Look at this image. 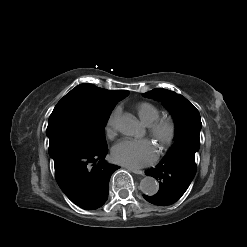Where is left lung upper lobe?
<instances>
[{"label":"left lung upper lobe","mask_w":247,"mask_h":247,"mask_svg":"<svg viewBox=\"0 0 247 247\" xmlns=\"http://www.w3.org/2000/svg\"><path fill=\"white\" fill-rule=\"evenodd\" d=\"M144 95L162 101L175 120V143L168 153L180 149L198 151L202 126L198 110L182 95L166 89H153Z\"/></svg>","instance_id":"1"}]
</instances>
